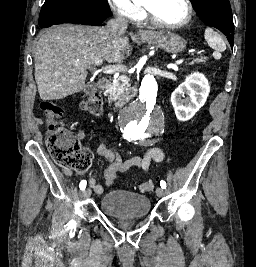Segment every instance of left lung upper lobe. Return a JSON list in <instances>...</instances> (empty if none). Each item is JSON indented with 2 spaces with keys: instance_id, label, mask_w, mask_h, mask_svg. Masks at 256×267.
Returning <instances> with one entry per match:
<instances>
[{
  "instance_id": "5c2ea615",
  "label": "left lung upper lobe",
  "mask_w": 256,
  "mask_h": 267,
  "mask_svg": "<svg viewBox=\"0 0 256 267\" xmlns=\"http://www.w3.org/2000/svg\"><path fill=\"white\" fill-rule=\"evenodd\" d=\"M202 21L219 29L233 48L234 25L229 0H192Z\"/></svg>"
}]
</instances>
